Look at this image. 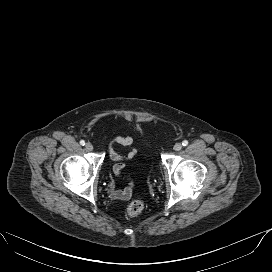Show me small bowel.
<instances>
[{
  "label": "small bowel",
  "mask_w": 272,
  "mask_h": 272,
  "mask_svg": "<svg viewBox=\"0 0 272 272\" xmlns=\"http://www.w3.org/2000/svg\"><path fill=\"white\" fill-rule=\"evenodd\" d=\"M133 141H134V136L130 134L125 136H117L114 139H112V141L109 144V147H108L109 156L112 160L115 161L113 171L118 176H123V169L126 165V162L130 161L136 156L137 150L135 148H132L126 154H119L114 150L113 145L119 144L122 146H129L133 143ZM132 191H133V185L130 182L129 185L125 187L123 190H118L113 188L111 191V196L113 199L127 200L131 197Z\"/></svg>",
  "instance_id": "obj_1"
}]
</instances>
